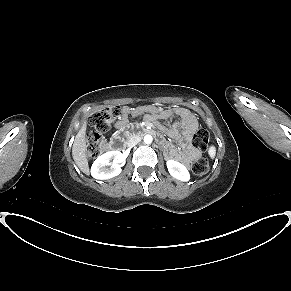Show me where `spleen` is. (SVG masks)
I'll return each mask as SVG.
<instances>
[{
	"mask_svg": "<svg viewBox=\"0 0 291 291\" xmlns=\"http://www.w3.org/2000/svg\"><path fill=\"white\" fill-rule=\"evenodd\" d=\"M209 155H210L211 158H214L215 157V155H216V148L214 146H211L209 148Z\"/></svg>",
	"mask_w": 291,
	"mask_h": 291,
	"instance_id": "1",
	"label": "spleen"
}]
</instances>
